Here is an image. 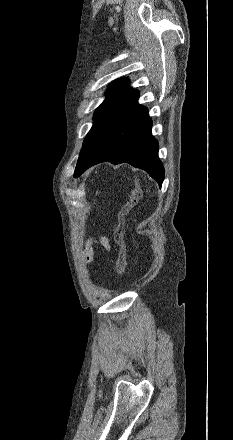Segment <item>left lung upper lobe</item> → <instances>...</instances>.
I'll return each instance as SVG.
<instances>
[{
  "label": "left lung upper lobe",
  "instance_id": "1",
  "mask_svg": "<svg viewBox=\"0 0 233 440\" xmlns=\"http://www.w3.org/2000/svg\"><path fill=\"white\" fill-rule=\"evenodd\" d=\"M107 94L108 96L104 102L94 113L93 126L83 142V149L80 152L76 167L84 161L108 125L139 95V92L129 87L127 79L121 78L109 85Z\"/></svg>",
  "mask_w": 233,
  "mask_h": 440
}]
</instances>
